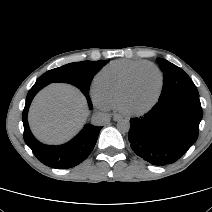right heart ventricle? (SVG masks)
<instances>
[{"label":"right heart ventricle","instance_id":"1","mask_svg":"<svg viewBox=\"0 0 212 212\" xmlns=\"http://www.w3.org/2000/svg\"><path fill=\"white\" fill-rule=\"evenodd\" d=\"M146 61L116 60L103 67L94 78V88L108 107L117 106L130 73Z\"/></svg>","mask_w":212,"mask_h":212}]
</instances>
